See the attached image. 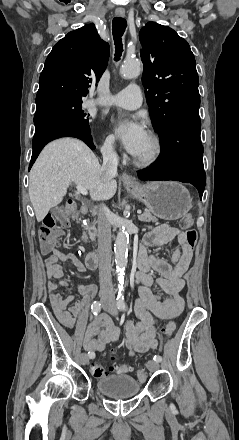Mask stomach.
<instances>
[{
  "label": "stomach",
  "mask_w": 239,
  "mask_h": 440,
  "mask_svg": "<svg viewBox=\"0 0 239 440\" xmlns=\"http://www.w3.org/2000/svg\"><path fill=\"white\" fill-rule=\"evenodd\" d=\"M127 190L161 220H179L192 208L190 192L178 182H149Z\"/></svg>",
  "instance_id": "1"
}]
</instances>
